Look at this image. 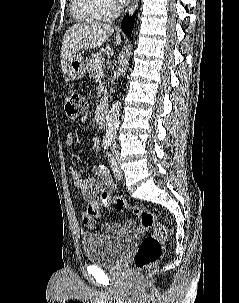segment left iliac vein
Returning <instances> with one entry per match:
<instances>
[{"instance_id": "1", "label": "left iliac vein", "mask_w": 239, "mask_h": 303, "mask_svg": "<svg viewBox=\"0 0 239 303\" xmlns=\"http://www.w3.org/2000/svg\"><path fill=\"white\" fill-rule=\"evenodd\" d=\"M112 170L116 179L121 180L123 178V172L119 163H116V165L112 167Z\"/></svg>"}]
</instances>
